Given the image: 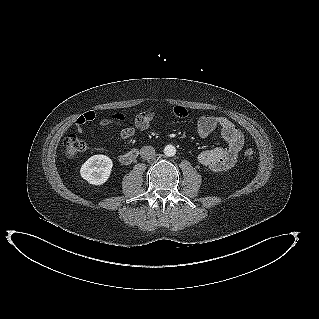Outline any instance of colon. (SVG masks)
<instances>
[{
	"label": "colon",
	"mask_w": 319,
	"mask_h": 319,
	"mask_svg": "<svg viewBox=\"0 0 319 319\" xmlns=\"http://www.w3.org/2000/svg\"><path fill=\"white\" fill-rule=\"evenodd\" d=\"M84 119L91 120L94 118V115L92 112L86 113L85 116H83ZM82 117H80L77 121L81 120ZM83 121V120H82ZM64 147H65V154L67 157H75L81 153H83L87 149V144L85 141L80 139L75 134H69L64 138L63 141ZM255 150L251 147H246L243 151V156L246 160L251 161L255 158Z\"/></svg>",
	"instance_id": "1"
}]
</instances>
